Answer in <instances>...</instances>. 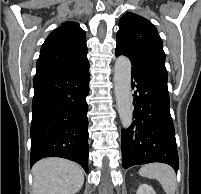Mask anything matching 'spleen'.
I'll return each instance as SVG.
<instances>
[{
  "label": "spleen",
  "instance_id": "spleen-1",
  "mask_svg": "<svg viewBox=\"0 0 201 194\" xmlns=\"http://www.w3.org/2000/svg\"><path fill=\"white\" fill-rule=\"evenodd\" d=\"M139 174L143 177L156 179L162 185L166 194H175L176 175L172 167L162 163H152L140 168Z\"/></svg>",
  "mask_w": 201,
  "mask_h": 194
}]
</instances>
